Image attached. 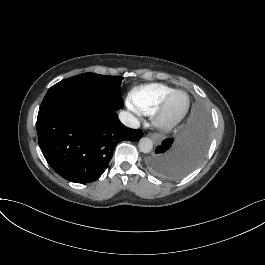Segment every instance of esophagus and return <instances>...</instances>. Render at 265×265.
<instances>
[{
	"instance_id": "obj_1",
	"label": "esophagus",
	"mask_w": 265,
	"mask_h": 265,
	"mask_svg": "<svg viewBox=\"0 0 265 265\" xmlns=\"http://www.w3.org/2000/svg\"><path fill=\"white\" fill-rule=\"evenodd\" d=\"M156 144H160L163 140V136L161 134L158 133H153L149 135Z\"/></svg>"
}]
</instances>
